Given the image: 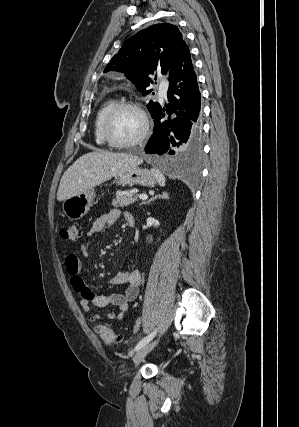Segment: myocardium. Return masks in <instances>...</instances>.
Masks as SVG:
<instances>
[{"mask_svg":"<svg viewBox=\"0 0 299 427\" xmlns=\"http://www.w3.org/2000/svg\"><path fill=\"white\" fill-rule=\"evenodd\" d=\"M133 109L135 110L140 117L142 118L143 122V128L141 133L133 140L131 141H118L112 134L111 131V125L112 120L114 116L122 109ZM150 131V121L148 118L147 113L142 108V106L135 102V101H129V100H123L117 102L106 114L103 125H102V133L105 141L108 143L109 146H112L114 148H131L134 147L140 143H142L148 136Z\"/></svg>","mask_w":299,"mask_h":427,"instance_id":"1","label":"myocardium"}]
</instances>
